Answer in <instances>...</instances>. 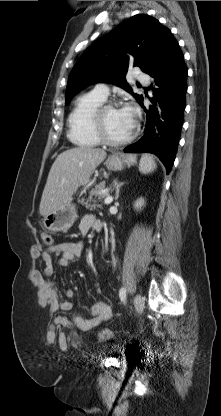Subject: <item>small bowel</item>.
I'll return each instance as SVG.
<instances>
[{
  "label": "small bowel",
  "instance_id": "obj_1",
  "mask_svg": "<svg viewBox=\"0 0 221 416\" xmlns=\"http://www.w3.org/2000/svg\"><path fill=\"white\" fill-rule=\"evenodd\" d=\"M100 231L102 223L93 215H85L80 224L79 231L82 235L87 234L90 230ZM83 254V244L75 241H65L54 244L44 251H35V258H40L45 264L43 272L34 269L32 272L33 281L41 287L40 299L42 303L49 307L50 312L70 311L73 308L72 299L74 291L67 289L65 299L62 298L57 286L56 280L46 279L53 274L52 256H58V265L66 267L79 260ZM112 317V309L106 300L96 301L90 308V317L83 318L80 315H73L71 319L60 316L56 318V323L62 327L78 329L82 332H89L97 328L104 321Z\"/></svg>",
  "mask_w": 221,
  "mask_h": 416
}]
</instances>
